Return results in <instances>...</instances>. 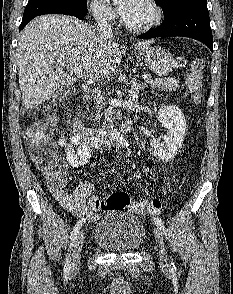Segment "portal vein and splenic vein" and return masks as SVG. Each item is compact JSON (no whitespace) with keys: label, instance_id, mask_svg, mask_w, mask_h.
Returning <instances> with one entry per match:
<instances>
[{"label":"portal vein and splenic vein","instance_id":"18ae733b","mask_svg":"<svg viewBox=\"0 0 233 294\" xmlns=\"http://www.w3.org/2000/svg\"><path fill=\"white\" fill-rule=\"evenodd\" d=\"M61 66L63 67H66L67 69H70L72 72L74 73H77V74H83V71L80 67H77V66H71V65H68L66 63H60ZM142 78L144 80H150L151 79V76L150 75H143Z\"/></svg>","mask_w":233,"mask_h":294}]
</instances>
